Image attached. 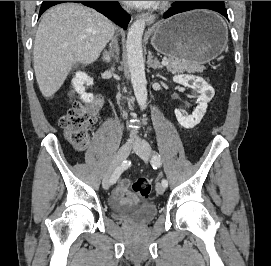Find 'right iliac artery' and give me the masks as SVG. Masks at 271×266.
<instances>
[{
  "label": "right iliac artery",
  "mask_w": 271,
  "mask_h": 266,
  "mask_svg": "<svg viewBox=\"0 0 271 266\" xmlns=\"http://www.w3.org/2000/svg\"><path fill=\"white\" fill-rule=\"evenodd\" d=\"M131 162L128 160L123 161L113 172L111 176V184H114L120 175L123 173L124 170H126L130 166Z\"/></svg>",
  "instance_id": "1"
}]
</instances>
